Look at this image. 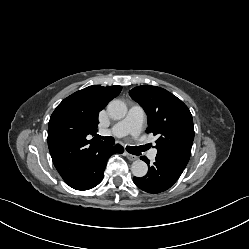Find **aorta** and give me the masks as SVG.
I'll list each match as a JSON object with an SVG mask.
<instances>
[{"label":"aorta","mask_w":249,"mask_h":249,"mask_svg":"<svg viewBox=\"0 0 249 249\" xmlns=\"http://www.w3.org/2000/svg\"><path fill=\"white\" fill-rule=\"evenodd\" d=\"M108 114L113 119H122L127 113V106L121 100H112L107 106ZM131 172L135 177H144L148 172L147 164L142 160H136L131 165Z\"/></svg>","instance_id":"1"}]
</instances>
